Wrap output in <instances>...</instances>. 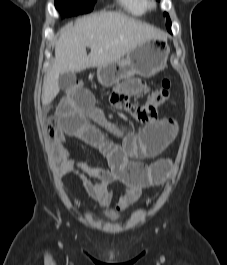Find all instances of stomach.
Masks as SVG:
<instances>
[{"label":"stomach","instance_id":"0dacf381","mask_svg":"<svg viewBox=\"0 0 227 265\" xmlns=\"http://www.w3.org/2000/svg\"><path fill=\"white\" fill-rule=\"evenodd\" d=\"M169 46L163 40L151 39L135 46L126 57L107 66L98 67L97 79L105 87L115 81L136 75L149 78L167 66Z\"/></svg>","mask_w":227,"mask_h":265}]
</instances>
